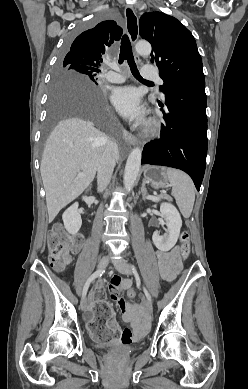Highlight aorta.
I'll list each match as a JSON object with an SVG mask.
<instances>
[{"instance_id":"aorta-1","label":"aorta","mask_w":248,"mask_h":389,"mask_svg":"<svg viewBox=\"0 0 248 389\" xmlns=\"http://www.w3.org/2000/svg\"><path fill=\"white\" fill-rule=\"evenodd\" d=\"M137 53L140 55H150L151 45L148 42H138L135 46ZM142 150L135 147L130 152L124 172V187L125 190L130 191L137 179L141 166Z\"/></svg>"}]
</instances>
